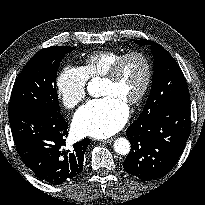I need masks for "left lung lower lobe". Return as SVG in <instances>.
<instances>
[{
  "label": "left lung lower lobe",
  "instance_id": "1",
  "mask_svg": "<svg viewBox=\"0 0 205 205\" xmlns=\"http://www.w3.org/2000/svg\"><path fill=\"white\" fill-rule=\"evenodd\" d=\"M190 98L171 101L151 117L136 120L126 131L131 151L124 169L141 180L158 179L176 164L190 134Z\"/></svg>",
  "mask_w": 205,
  "mask_h": 205
}]
</instances>
